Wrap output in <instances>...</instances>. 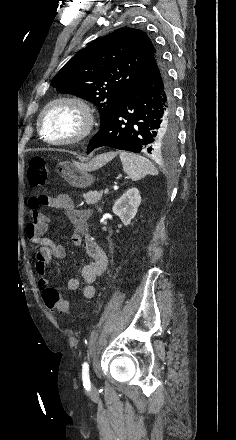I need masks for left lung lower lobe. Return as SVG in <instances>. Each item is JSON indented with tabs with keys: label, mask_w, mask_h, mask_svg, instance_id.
I'll return each mask as SVG.
<instances>
[{
	"label": "left lung lower lobe",
	"mask_w": 236,
	"mask_h": 440,
	"mask_svg": "<svg viewBox=\"0 0 236 440\" xmlns=\"http://www.w3.org/2000/svg\"><path fill=\"white\" fill-rule=\"evenodd\" d=\"M173 90L160 56L117 104L109 120L88 145L87 153L100 146L152 153L175 139Z\"/></svg>",
	"instance_id": "left-lung-lower-lobe-1"
}]
</instances>
